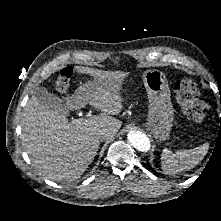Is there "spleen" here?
I'll use <instances>...</instances> for the list:
<instances>
[{"label":"spleen","instance_id":"spleen-1","mask_svg":"<svg viewBox=\"0 0 221 221\" xmlns=\"http://www.w3.org/2000/svg\"><path fill=\"white\" fill-rule=\"evenodd\" d=\"M209 143H204L190 150L172 152L165 148L161 155V166L168 175H175L194 168L208 153Z\"/></svg>","mask_w":221,"mask_h":221}]
</instances>
